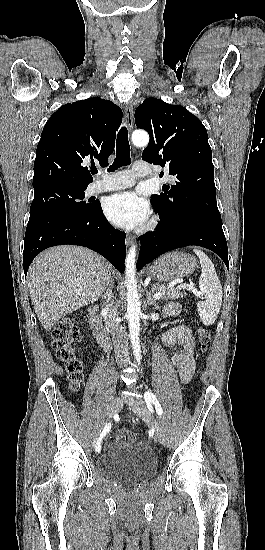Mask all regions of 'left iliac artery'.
I'll return each mask as SVG.
<instances>
[{
	"label": "left iliac artery",
	"instance_id": "44dca946",
	"mask_svg": "<svg viewBox=\"0 0 265 550\" xmlns=\"http://www.w3.org/2000/svg\"><path fill=\"white\" fill-rule=\"evenodd\" d=\"M144 399H145L146 404H147V406L150 410H151V407H152L151 404H153L155 406L157 414L162 415V413H163L162 407H161L159 401L157 400V398L155 397V395L152 392H149V391L145 392Z\"/></svg>",
	"mask_w": 265,
	"mask_h": 550
}]
</instances>
